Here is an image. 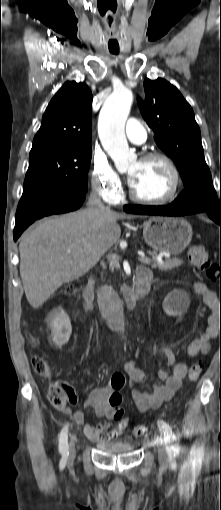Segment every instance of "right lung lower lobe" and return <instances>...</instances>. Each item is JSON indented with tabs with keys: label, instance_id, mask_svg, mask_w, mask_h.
I'll list each match as a JSON object with an SVG mask.
<instances>
[{
	"label": "right lung lower lobe",
	"instance_id": "98d812e1",
	"mask_svg": "<svg viewBox=\"0 0 221 510\" xmlns=\"http://www.w3.org/2000/svg\"><path fill=\"white\" fill-rule=\"evenodd\" d=\"M85 196H86L85 194L78 195L74 198L60 202L54 206L47 207L44 210H42L41 212L31 215V216H29L25 213H19L17 211L14 234H13L14 241H16L19 238V236L22 234V232L31 223H33L36 219H40L44 216H48V215H52V214L66 213V212H70V211L78 209L82 205V203L85 199Z\"/></svg>",
	"mask_w": 221,
	"mask_h": 510
}]
</instances>
